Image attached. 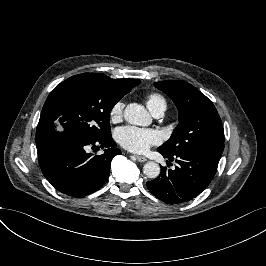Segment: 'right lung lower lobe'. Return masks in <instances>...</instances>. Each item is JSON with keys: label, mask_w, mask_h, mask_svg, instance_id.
<instances>
[{"label": "right lung lower lobe", "mask_w": 266, "mask_h": 266, "mask_svg": "<svg viewBox=\"0 0 266 266\" xmlns=\"http://www.w3.org/2000/svg\"><path fill=\"white\" fill-rule=\"evenodd\" d=\"M100 145L104 154L87 153V146ZM111 135L87 139L60 132L37 144L41 170L52 186L72 197L95 192L107 181L114 156L121 154Z\"/></svg>", "instance_id": "98d812e1"}]
</instances>
